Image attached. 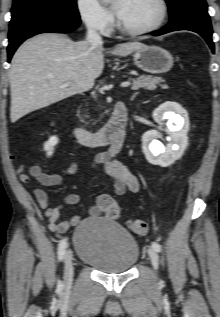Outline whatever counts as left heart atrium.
I'll return each instance as SVG.
<instances>
[{
	"label": "left heart atrium",
	"mask_w": 220,
	"mask_h": 317,
	"mask_svg": "<svg viewBox=\"0 0 220 317\" xmlns=\"http://www.w3.org/2000/svg\"><path fill=\"white\" fill-rule=\"evenodd\" d=\"M125 0H115L111 6L113 13L119 17L123 11Z\"/></svg>",
	"instance_id": "obj_1"
}]
</instances>
